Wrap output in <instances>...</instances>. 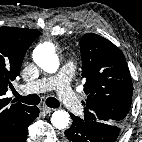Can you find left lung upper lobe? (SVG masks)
Instances as JSON below:
<instances>
[{
    "label": "left lung upper lobe",
    "instance_id": "left-lung-upper-lobe-1",
    "mask_svg": "<svg viewBox=\"0 0 142 142\" xmlns=\"http://www.w3.org/2000/svg\"><path fill=\"white\" fill-rule=\"evenodd\" d=\"M84 121L122 126L130 110L133 85L123 53L109 40L87 33L80 42Z\"/></svg>",
    "mask_w": 142,
    "mask_h": 142
}]
</instances>
